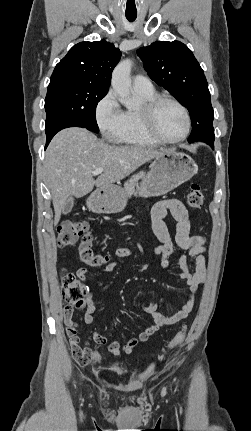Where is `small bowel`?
Wrapping results in <instances>:
<instances>
[{"label": "small bowel", "mask_w": 251, "mask_h": 431, "mask_svg": "<svg viewBox=\"0 0 251 431\" xmlns=\"http://www.w3.org/2000/svg\"><path fill=\"white\" fill-rule=\"evenodd\" d=\"M168 212L176 220V233L174 238L171 236L168 227L164 221ZM152 229L160 241V245L150 250L154 256H160V265L166 269L170 266L169 258L176 250L185 251V254L179 255L180 273L179 277L186 283L189 288V294L185 303L173 313L164 315L158 311V306L154 301H148L143 307V311L152 316L153 323L144 329L137 338L129 340L124 346L118 340L109 341L108 338L97 331L92 334V339L100 345H108V350L113 355H119L122 352L132 354L140 343L156 333L161 327L172 325L186 318L192 311L195 301V295L206 277V259L204 256L206 239L203 236L190 234V222L188 211L180 200L168 199L156 203L151 210ZM131 254L130 248H120L114 253L116 257H126ZM189 258L195 259V267L190 269ZM118 266L117 262H111L102 268L103 272H112ZM87 269L79 268L76 271L77 277L85 282L87 280ZM83 321L91 324L94 321L96 306L94 295L89 292L84 305ZM73 309L64 310V322L66 331L71 339L72 347L70 351L74 354V362H78L79 369H88L93 359V352L89 348L78 346L80 341L78 336L79 324L72 319Z\"/></svg>", "instance_id": "c3829d8e"}]
</instances>
